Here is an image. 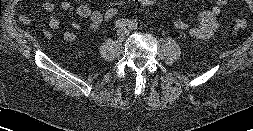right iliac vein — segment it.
Segmentation results:
<instances>
[{
  "mask_svg": "<svg viewBox=\"0 0 253 131\" xmlns=\"http://www.w3.org/2000/svg\"><path fill=\"white\" fill-rule=\"evenodd\" d=\"M125 30L124 29H119L118 31H117V36L119 37V38H122L124 35H125Z\"/></svg>",
  "mask_w": 253,
  "mask_h": 131,
  "instance_id": "right-iliac-vein-1",
  "label": "right iliac vein"
}]
</instances>
